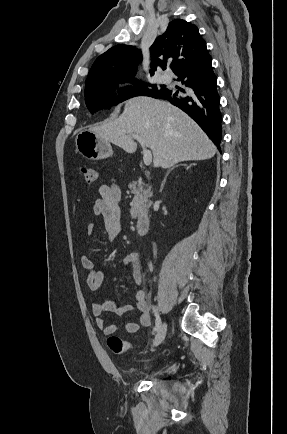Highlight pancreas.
<instances>
[{
    "mask_svg": "<svg viewBox=\"0 0 287 434\" xmlns=\"http://www.w3.org/2000/svg\"><path fill=\"white\" fill-rule=\"evenodd\" d=\"M142 179H139L138 182H133L128 185V188L134 194V198L130 203L131 209L130 214L132 218L140 217L148 212V208L150 207L148 201V191L143 189Z\"/></svg>",
    "mask_w": 287,
    "mask_h": 434,
    "instance_id": "pancreas-1",
    "label": "pancreas"
}]
</instances>
